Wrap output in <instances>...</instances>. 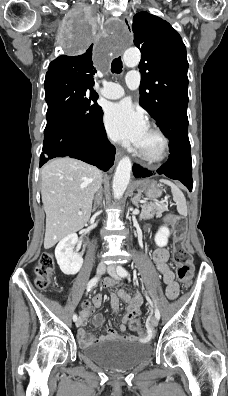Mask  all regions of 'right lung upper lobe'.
Instances as JSON below:
<instances>
[{"instance_id":"1","label":"right lung upper lobe","mask_w":228,"mask_h":396,"mask_svg":"<svg viewBox=\"0 0 228 396\" xmlns=\"http://www.w3.org/2000/svg\"><path fill=\"white\" fill-rule=\"evenodd\" d=\"M92 46L82 54L76 56L61 55L49 65L46 79L74 78L94 85L93 75L96 72L92 61Z\"/></svg>"}]
</instances>
